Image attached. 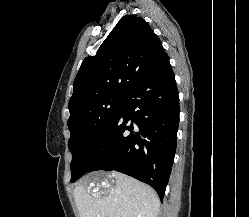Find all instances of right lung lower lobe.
<instances>
[{
	"instance_id": "obj_1",
	"label": "right lung lower lobe",
	"mask_w": 249,
	"mask_h": 217,
	"mask_svg": "<svg viewBox=\"0 0 249 217\" xmlns=\"http://www.w3.org/2000/svg\"><path fill=\"white\" fill-rule=\"evenodd\" d=\"M178 123V90L165 53L125 96L119 114L89 151L81 170L122 172L152 186L162 201Z\"/></svg>"
}]
</instances>
